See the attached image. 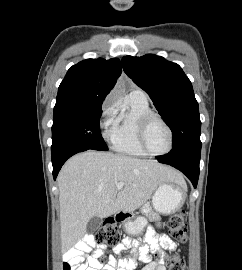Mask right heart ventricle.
<instances>
[{"instance_id": "right-heart-ventricle-1", "label": "right heart ventricle", "mask_w": 242, "mask_h": 270, "mask_svg": "<svg viewBox=\"0 0 242 270\" xmlns=\"http://www.w3.org/2000/svg\"><path fill=\"white\" fill-rule=\"evenodd\" d=\"M152 112L148 101L129 94L119 108L114 125L110 131V140L115 151L144 157L147 154L138 143V122L142 116Z\"/></svg>"}]
</instances>
